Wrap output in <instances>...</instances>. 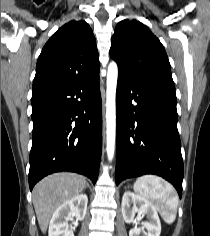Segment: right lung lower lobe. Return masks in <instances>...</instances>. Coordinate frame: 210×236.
Masks as SVG:
<instances>
[{"label":"right lung lower lobe","instance_id":"right-lung-lower-lobe-1","mask_svg":"<svg viewBox=\"0 0 210 236\" xmlns=\"http://www.w3.org/2000/svg\"><path fill=\"white\" fill-rule=\"evenodd\" d=\"M29 186L48 174L72 171L95 184L102 148L99 71L32 101Z\"/></svg>","mask_w":210,"mask_h":236}]
</instances>
